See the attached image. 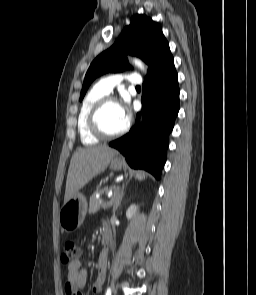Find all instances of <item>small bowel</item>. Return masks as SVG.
Segmentation results:
<instances>
[{
  "label": "small bowel",
  "instance_id": "c3829d8e",
  "mask_svg": "<svg viewBox=\"0 0 256 295\" xmlns=\"http://www.w3.org/2000/svg\"><path fill=\"white\" fill-rule=\"evenodd\" d=\"M108 256L109 251L107 249L102 250L99 255L97 276L92 285V289L95 293L102 290L105 282ZM87 277V271L82 267L80 260L77 259L68 264L64 285L65 295H82L80 291L86 285Z\"/></svg>",
  "mask_w": 256,
  "mask_h": 295
}]
</instances>
